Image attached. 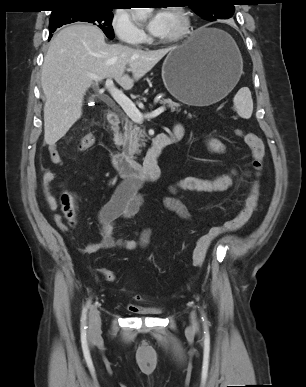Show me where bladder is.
I'll return each instance as SVG.
<instances>
[{"label":"bladder","mask_w":306,"mask_h":387,"mask_svg":"<svg viewBox=\"0 0 306 387\" xmlns=\"http://www.w3.org/2000/svg\"><path fill=\"white\" fill-rule=\"evenodd\" d=\"M133 313L146 316H159L162 313V309L158 306H141L138 310H134Z\"/></svg>","instance_id":"1"}]
</instances>
